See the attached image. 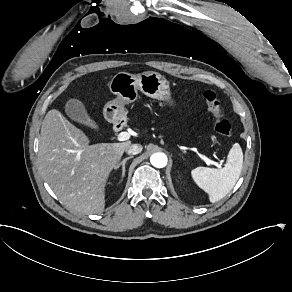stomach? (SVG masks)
<instances>
[{"instance_id": "obj_1", "label": "stomach", "mask_w": 292, "mask_h": 292, "mask_svg": "<svg viewBox=\"0 0 292 292\" xmlns=\"http://www.w3.org/2000/svg\"><path fill=\"white\" fill-rule=\"evenodd\" d=\"M110 90L118 97L108 102L104 108V116L109 122H116L125 116L123 105L135 101L138 90L157 99L172 112L178 110V103L171 95L170 83L157 72L148 71L139 75L118 73L111 81Z\"/></svg>"}]
</instances>
